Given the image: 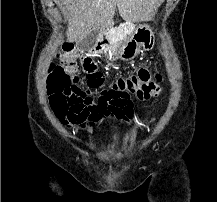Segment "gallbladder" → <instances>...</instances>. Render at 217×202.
<instances>
[{"label": "gallbladder", "mask_w": 217, "mask_h": 202, "mask_svg": "<svg viewBox=\"0 0 217 202\" xmlns=\"http://www.w3.org/2000/svg\"><path fill=\"white\" fill-rule=\"evenodd\" d=\"M99 38L98 32L94 30V32H91V34H88L86 38L80 39L79 42V50L80 51H91L93 46H95L97 40Z\"/></svg>", "instance_id": "1"}]
</instances>
